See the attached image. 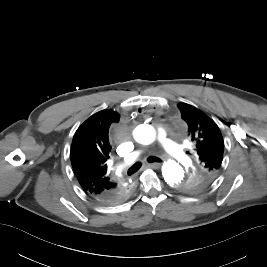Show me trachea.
<instances>
[{"label":"trachea","instance_id":"1","mask_svg":"<svg viewBox=\"0 0 267 267\" xmlns=\"http://www.w3.org/2000/svg\"><path fill=\"white\" fill-rule=\"evenodd\" d=\"M147 161H148L149 163L162 162V160H161L160 158L155 157V156H149V157L147 158ZM140 167H141V163H140V162H136L134 165H132V166L128 169V171H127L128 175H132L133 173L137 172V171L140 169Z\"/></svg>","mask_w":267,"mask_h":267}]
</instances>
